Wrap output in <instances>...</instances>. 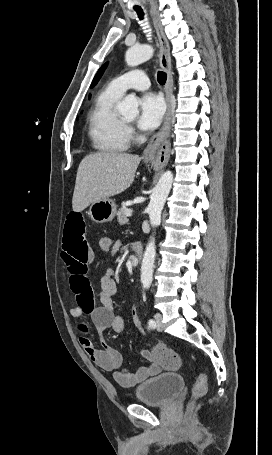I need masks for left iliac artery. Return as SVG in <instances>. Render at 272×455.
I'll return each instance as SVG.
<instances>
[{
  "instance_id": "obj_1",
  "label": "left iliac artery",
  "mask_w": 272,
  "mask_h": 455,
  "mask_svg": "<svg viewBox=\"0 0 272 455\" xmlns=\"http://www.w3.org/2000/svg\"><path fill=\"white\" fill-rule=\"evenodd\" d=\"M148 325L150 328H155L156 327V323L153 319H149L148 321Z\"/></svg>"
}]
</instances>
